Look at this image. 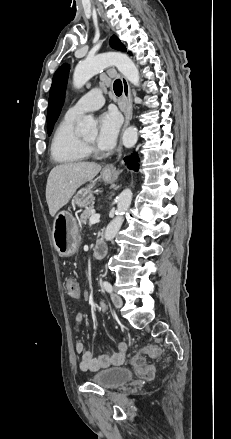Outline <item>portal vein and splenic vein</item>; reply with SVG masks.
Returning a JSON list of instances; mask_svg holds the SVG:
<instances>
[{"label": "portal vein and splenic vein", "mask_w": 231, "mask_h": 439, "mask_svg": "<svg viewBox=\"0 0 231 439\" xmlns=\"http://www.w3.org/2000/svg\"><path fill=\"white\" fill-rule=\"evenodd\" d=\"M100 221V215L99 214H94L90 217L89 219V223L90 224H96Z\"/></svg>", "instance_id": "obj_1"}]
</instances>
